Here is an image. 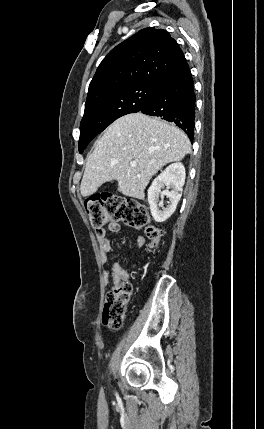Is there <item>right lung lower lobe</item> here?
<instances>
[{
    "label": "right lung lower lobe",
    "mask_w": 264,
    "mask_h": 429,
    "mask_svg": "<svg viewBox=\"0 0 264 429\" xmlns=\"http://www.w3.org/2000/svg\"><path fill=\"white\" fill-rule=\"evenodd\" d=\"M195 101L194 82L184 57L156 85L140 112L174 122L193 142Z\"/></svg>",
    "instance_id": "98d812e1"
}]
</instances>
